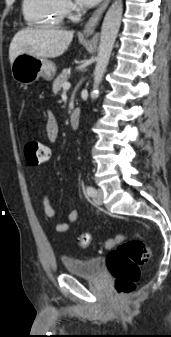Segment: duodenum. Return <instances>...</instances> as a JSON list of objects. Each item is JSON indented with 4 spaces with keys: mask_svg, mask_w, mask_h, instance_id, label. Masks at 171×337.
Instances as JSON below:
<instances>
[{
    "mask_svg": "<svg viewBox=\"0 0 171 337\" xmlns=\"http://www.w3.org/2000/svg\"><path fill=\"white\" fill-rule=\"evenodd\" d=\"M80 123V112L78 109H74L70 116V124L73 129L78 128Z\"/></svg>",
    "mask_w": 171,
    "mask_h": 337,
    "instance_id": "1",
    "label": "duodenum"
}]
</instances>
